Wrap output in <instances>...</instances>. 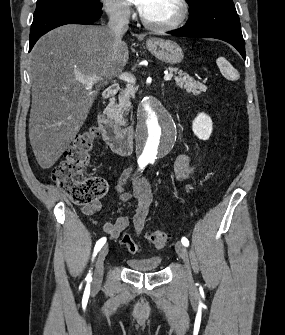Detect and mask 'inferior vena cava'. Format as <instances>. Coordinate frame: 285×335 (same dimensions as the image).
<instances>
[{
    "label": "inferior vena cava",
    "instance_id": "1",
    "mask_svg": "<svg viewBox=\"0 0 285 335\" xmlns=\"http://www.w3.org/2000/svg\"><path fill=\"white\" fill-rule=\"evenodd\" d=\"M107 10L109 14L108 28L114 32L117 40L121 42L123 34L129 28V6L123 0H110Z\"/></svg>",
    "mask_w": 285,
    "mask_h": 335
}]
</instances>
